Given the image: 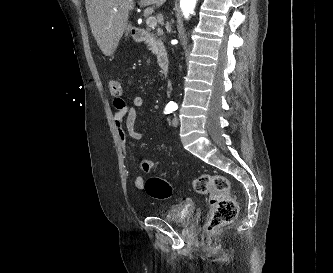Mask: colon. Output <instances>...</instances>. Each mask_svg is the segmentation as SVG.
<instances>
[{"label": "colon", "mask_w": 333, "mask_h": 273, "mask_svg": "<svg viewBox=\"0 0 333 273\" xmlns=\"http://www.w3.org/2000/svg\"><path fill=\"white\" fill-rule=\"evenodd\" d=\"M108 90L114 99L122 96V87L119 81L109 80ZM153 161L143 159L141 169L148 173L153 168ZM194 190L199 194L209 196L210 215L206 223V229L212 231L217 227L232 222L238 213L235 199L230 195V184L223 175L203 174L193 182ZM145 190L153 198L166 199L172 194V185L165 179L153 176L145 183Z\"/></svg>", "instance_id": "5ec220e1"}]
</instances>
